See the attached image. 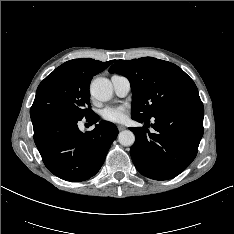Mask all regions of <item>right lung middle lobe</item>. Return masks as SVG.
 <instances>
[{
  "label": "right lung middle lobe",
  "mask_w": 234,
  "mask_h": 234,
  "mask_svg": "<svg viewBox=\"0 0 234 234\" xmlns=\"http://www.w3.org/2000/svg\"><path fill=\"white\" fill-rule=\"evenodd\" d=\"M89 84L65 70H54L38 86L30 114L59 111L83 118L93 114Z\"/></svg>",
  "instance_id": "dd1d6c3e"
}]
</instances>
